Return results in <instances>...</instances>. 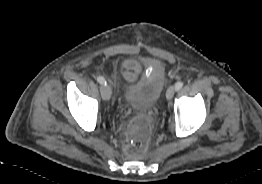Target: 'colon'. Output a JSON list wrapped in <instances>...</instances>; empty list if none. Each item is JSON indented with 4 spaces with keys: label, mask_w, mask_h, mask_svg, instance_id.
<instances>
[{
    "label": "colon",
    "mask_w": 262,
    "mask_h": 184,
    "mask_svg": "<svg viewBox=\"0 0 262 184\" xmlns=\"http://www.w3.org/2000/svg\"><path fill=\"white\" fill-rule=\"evenodd\" d=\"M150 125L147 119L138 118L131 125V140L128 152L143 153L148 145Z\"/></svg>",
    "instance_id": "5ec220e1"
}]
</instances>
